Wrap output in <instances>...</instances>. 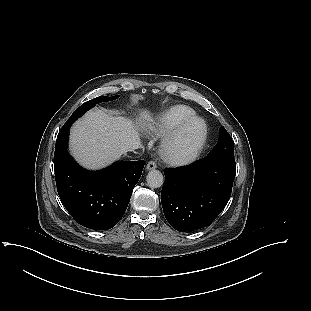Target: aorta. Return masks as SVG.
<instances>
[{
  "mask_svg": "<svg viewBox=\"0 0 311 311\" xmlns=\"http://www.w3.org/2000/svg\"><path fill=\"white\" fill-rule=\"evenodd\" d=\"M146 180L150 188H159L163 185L164 177L159 170H151L147 174Z\"/></svg>",
  "mask_w": 311,
  "mask_h": 311,
  "instance_id": "obj_1",
  "label": "aorta"
}]
</instances>
